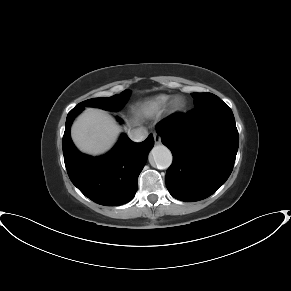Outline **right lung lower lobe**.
<instances>
[{"instance_id":"98d812e1","label":"right lung lower lobe","mask_w":291,"mask_h":291,"mask_svg":"<svg viewBox=\"0 0 291 291\" xmlns=\"http://www.w3.org/2000/svg\"><path fill=\"white\" fill-rule=\"evenodd\" d=\"M83 109L74 107L66 119L62 145L69 178L86 197L100 205L125 204L133 199L138 189V176L154 145L153 136L150 134L145 141L134 143L122 134L106 155H84L76 149L70 137L72 121Z\"/></svg>"}]
</instances>
